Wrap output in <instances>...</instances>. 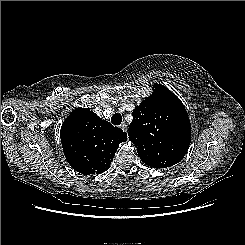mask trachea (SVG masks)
<instances>
[{
  "instance_id": "1",
  "label": "trachea",
  "mask_w": 245,
  "mask_h": 245,
  "mask_svg": "<svg viewBox=\"0 0 245 245\" xmlns=\"http://www.w3.org/2000/svg\"><path fill=\"white\" fill-rule=\"evenodd\" d=\"M111 122L114 125H120L122 122V116L118 113H115L112 117H111Z\"/></svg>"
}]
</instances>
